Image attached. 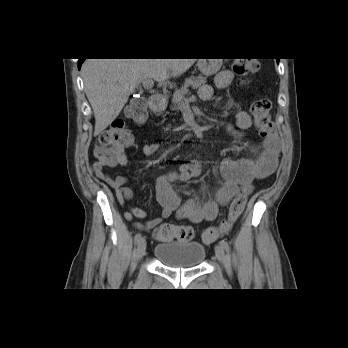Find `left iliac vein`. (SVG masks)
Returning a JSON list of instances; mask_svg holds the SVG:
<instances>
[{
	"label": "left iliac vein",
	"mask_w": 348,
	"mask_h": 348,
	"mask_svg": "<svg viewBox=\"0 0 348 348\" xmlns=\"http://www.w3.org/2000/svg\"><path fill=\"white\" fill-rule=\"evenodd\" d=\"M215 254L217 259L221 262L224 263L225 262V253H224V249L220 244H217L215 246Z\"/></svg>",
	"instance_id": "left-iliac-vein-1"
}]
</instances>
